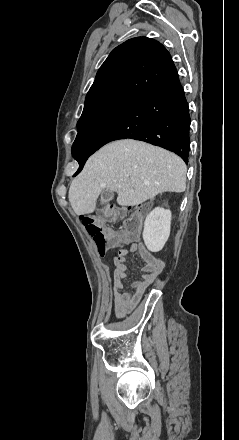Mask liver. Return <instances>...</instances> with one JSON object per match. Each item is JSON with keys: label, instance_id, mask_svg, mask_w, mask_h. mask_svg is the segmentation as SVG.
<instances>
[{"label": "liver", "instance_id": "6515ba94", "mask_svg": "<svg viewBox=\"0 0 239 440\" xmlns=\"http://www.w3.org/2000/svg\"><path fill=\"white\" fill-rule=\"evenodd\" d=\"M183 160L146 142L118 140L87 160L70 184L68 198L78 216L92 214L102 190L117 192L119 206H138L161 192H185Z\"/></svg>", "mask_w": 239, "mask_h": 440}]
</instances>
